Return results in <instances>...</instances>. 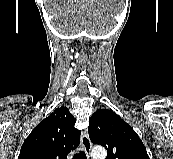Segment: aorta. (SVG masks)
I'll use <instances>...</instances> for the list:
<instances>
[{
	"label": "aorta",
	"instance_id": "aorta-1",
	"mask_svg": "<svg viewBox=\"0 0 173 159\" xmlns=\"http://www.w3.org/2000/svg\"><path fill=\"white\" fill-rule=\"evenodd\" d=\"M92 157L93 159H105L106 151L103 147H94L92 149Z\"/></svg>",
	"mask_w": 173,
	"mask_h": 159
}]
</instances>
